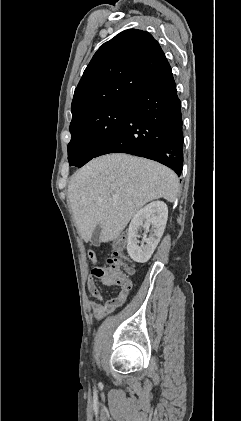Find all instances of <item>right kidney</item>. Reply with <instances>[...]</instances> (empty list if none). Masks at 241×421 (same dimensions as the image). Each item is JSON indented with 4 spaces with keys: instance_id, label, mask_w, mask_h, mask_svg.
Wrapping results in <instances>:
<instances>
[{
    "instance_id": "right-kidney-1",
    "label": "right kidney",
    "mask_w": 241,
    "mask_h": 421,
    "mask_svg": "<svg viewBox=\"0 0 241 421\" xmlns=\"http://www.w3.org/2000/svg\"><path fill=\"white\" fill-rule=\"evenodd\" d=\"M167 218L168 208L162 201L151 202L133 216L128 228L127 252L135 262L144 263L150 259L164 233ZM141 227L145 234L139 245L137 238Z\"/></svg>"
}]
</instances>
